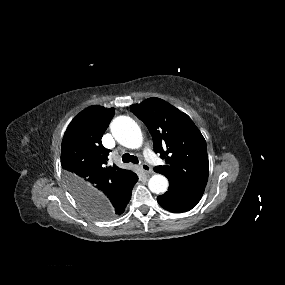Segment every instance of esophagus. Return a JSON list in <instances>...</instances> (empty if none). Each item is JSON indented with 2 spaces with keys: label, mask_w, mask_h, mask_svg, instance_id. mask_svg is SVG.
I'll use <instances>...</instances> for the list:
<instances>
[{
  "label": "esophagus",
  "mask_w": 285,
  "mask_h": 285,
  "mask_svg": "<svg viewBox=\"0 0 285 285\" xmlns=\"http://www.w3.org/2000/svg\"><path fill=\"white\" fill-rule=\"evenodd\" d=\"M141 170L144 172V173H147V174H150L152 173V169L151 167L146 164V163H143L141 166H140Z\"/></svg>",
  "instance_id": "1"
}]
</instances>
